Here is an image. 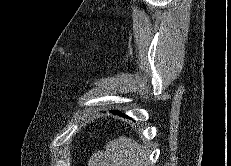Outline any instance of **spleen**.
I'll return each instance as SVG.
<instances>
[{
	"label": "spleen",
	"mask_w": 231,
	"mask_h": 166,
	"mask_svg": "<svg viewBox=\"0 0 231 166\" xmlns=\"http://www.w3.org/2000/svg\"><path fill=\"white\" fill-rule=\"evenodd\" d=\"M91 166H148V152L131 138L120 136L109 141L105 151L95 153Z\"/></svg>",
	"instance_id": "1"
}]
</instances>
